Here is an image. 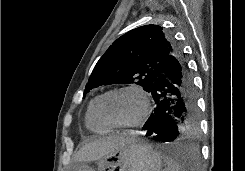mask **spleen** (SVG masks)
<instances>
[{"mask_svg":"<svg viewBox=\"0 0 245 171\" xmlns=\"http://www.w3.org/2000/svg\"><path fill=\"white\" fill-rule=\"evenodd\" d=\"M166 168L163 171H184L180 164L171 157H165Z\"/></svg>","mask_w":245,"mask_h":171,"instance_id":"spleen-1","label":"spleen"}]
</instances>
